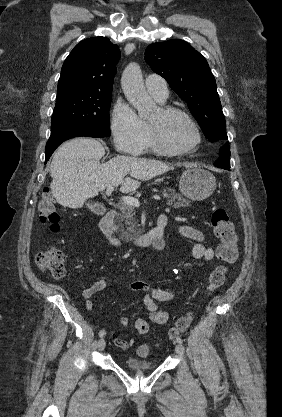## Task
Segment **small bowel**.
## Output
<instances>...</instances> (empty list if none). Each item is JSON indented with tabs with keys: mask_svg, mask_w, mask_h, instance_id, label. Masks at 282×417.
<instances>
[{
	"mask_svg": "<svg viewBox=\"0 0 282 417\" xmlns=\"http://www.w3.org/2000/svg\"><path fill=\"white\" fill-rule=\"evenodd\" d=\"M167 223V216L161 214L158 217L156 227H161L164 234ZM175 230L180 236L196 242L192 250L194 259L198 261H209L215 257V251L206 245V235L203 231L193 226L183 224L176 225ZM161 242H164V239H162ZM107 286V280L100 278L82 291V297L86 300V308L88 311L91 312L94 307L92 297L105 290ZM126 289L128 291L142 292L144 294L143 303L149 312V318L148 320L139 318L135 321V329L140 335H146L149 332L151 324L166 325L169 322L170 314L167 311L159 309L158 304L175 301L179 298L178 292L171 289L151 286L149 283L142 280L130 282L126 286ZM120 322L124 327L128 325V319L125 316L120 317ZM111 339L112 342L122 350H128L136 342L135 337L125 339L123 335L118 332L113 333Z\"/></svg>",
	"mask_w": 282,
	"mask_h": 417,
	"instance_id": "c3829d8e",
	"label": "small bowel"
}]
</instances>
